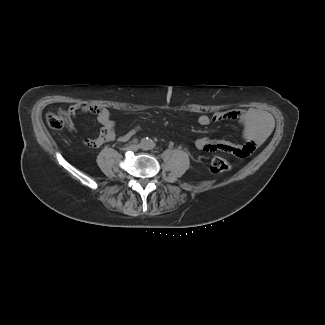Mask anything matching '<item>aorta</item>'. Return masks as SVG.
Instances as JSON below:
<instances>
[{"label":"aorta","instance_id":"obj_1","mask_svg":"<svg viewBox=\"0 0 325 325\" xmlns=\"http://www.w3.org/2000/svg\"><path fill=\"white\" fill-rule=\"evenodd\" d=\"M141 144H142V147H143L144 149H150V148H152L153 145H154L153 141L150 140V139H148V138L143 139L142 142H141Z\"/></svg>","mask_w":325,"mask_h":325}]
</instances>
